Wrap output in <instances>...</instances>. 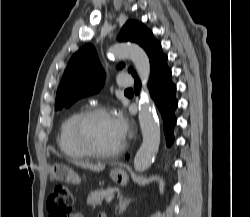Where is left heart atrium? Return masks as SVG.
Masks as SVG:
<instances>
[{"label":"left heart atrium","instance_id":"1","mask_svg":"<svg viewBox=\"0 0 250 217\" xmlns=\"http://www.w3.org/2000/svg\"><path fill=\"white\" fill-rule=\"evenodd\" d=\"M113 120L121 138L124 139L128 131L127 121L121 115H114Z\"/></svg>","mask_w":250,"mask_h":217}]
</instances>
